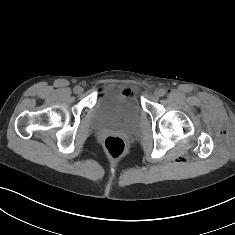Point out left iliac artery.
<instances>
[{
    "mask_svg": "<svg viewBox=\"0 0 235 235\" xmlns=\"http://www.w3.org/2000/svg\"><path fill=\"white\" fill-rule=\"evenodd\" d=\"M161 91V96H164L166 94V91L164 89H160Z\"/></svg>",
    "mask_w": 235,
    "mask_h": 235,
    "instance_id": "44dca946",
    "label": "left iliac artery"
}]
</instances>
